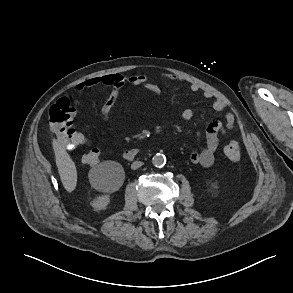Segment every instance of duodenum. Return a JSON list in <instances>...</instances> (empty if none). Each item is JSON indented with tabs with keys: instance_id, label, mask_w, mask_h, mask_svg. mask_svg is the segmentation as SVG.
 I'll list each match as a JSON object with an SVG mask.
<instances>
[{
	"instance_id": "obj_1",
	"label": "duodenum",
	"mask_w": 293,
	"mask_h": 293,
	"mask_svg": "<svg viewBox=\"0 0 293 293\" xmlns=\"http://www.w3.org/2000/svg\"><path fill=\"white\" fill-rule=\"evenodd\" d=\"M139 151L138 149H128L123 152V157L125 160H133L138 155Z\"/></svg>"
}]
</instances>
